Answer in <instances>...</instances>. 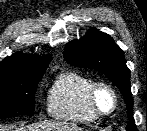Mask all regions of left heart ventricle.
Wrapping results in <instances>:
<instances>
[{"label":"left heart ventricle","mask_w":147,"mask_h":131,"mask_svg":"<svg viewBox=\"0 0 147 131\" xmlns=\"http://www.w3.org/2000/svg\"><path fill=\"white\" fill-rule=\"evenodd\" d=\"M98 107L102 111H109L113 106V97L109 90L101 88L96 96Z\"/></svg>","instance_id":"obj_1"}]
</instances>
